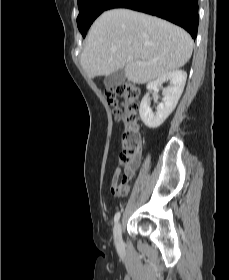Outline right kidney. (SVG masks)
<instances>
[{
    "label": "right kidney",
    "mask_w": 229,
    "mask_h": 280,
    "mask_svg": "<svg viewBox=\"0 0 229 280\" xmlns=\"http://www.w3.org/2000/svg\"><path fill=\"white\" fill-rule=\"evenodd\" d=\"M186 79L187 73L185 71L174 70L147 84L148 93L143 97L139 107L141 120L147 127L158 128L173 112L183 92ZM168 81L170 87L164 91L162 103L157 106V111L154 114L149 106V92L152 90L157 92L159 87Z\"/></svg>",
    "instance_id": "ca27d5eb"
}]
</instances>
